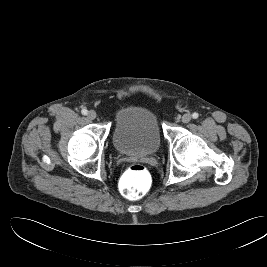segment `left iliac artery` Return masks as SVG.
<instances>
[{"label":"left iliac artery","mask_w":267,"mask_h":267,"mask_svg":"<svg viewBox=\"0 0 267 267\" xmlns=\"http://www.w3.org/2000/svg\"><path fill=\"white\" fill-rule=\"evenodd\" d=\"M192 117H193V119H197V118L199 117V114L196 113V112H194V113L192 114Z\"/></svg>","instance_id":"left-iliac-artery-1"}]
</instances>
